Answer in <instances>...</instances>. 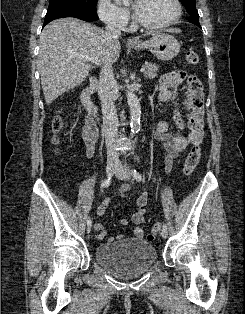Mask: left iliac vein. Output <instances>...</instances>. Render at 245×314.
<instances>
[{
	"instance_id": "left-iliac-vein-1",
	"label": "left iliac vein",
	"mask_w": 245,
	"mask_h": 314,
	"mask_svg": "<svg viewBox=\"0 0 245 314\" xmlns=\"http://www.w3.org/2000/svg\"><path fill=\"white\" fill-rule=\"evenodd\" d=\"M115 174H116V176H117L119 179L124 180V181H129L130 178H131L130 173H129L126 169H124L123 167H121V166H118V167H117V169H116V171H115ZM161 236H162L163 238H167L168 232H167L166 229H162V231H161Z\"/></svg>"
}]
</instances>
